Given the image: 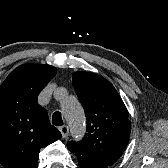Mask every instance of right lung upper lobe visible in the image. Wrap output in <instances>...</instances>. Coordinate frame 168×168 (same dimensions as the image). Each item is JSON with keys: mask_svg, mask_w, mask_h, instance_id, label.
Instances as JSON below:
<instances>
[{"mask_svg": "<svg viewBox=\"0 0 168 168\" xmlns=\"http://www.w3.org/2000/svg\"><path fill=\"white\" fill-rule=\"evenodd\" d=\"M51 65L23 64L0 86V164L35 168L40 149L62 137L37 97L56 75Z\"/></svg>", "mask_w": 168, "mask_h": 168, "instance_id": "obj_1", "label": "right lung upper lobe"}]
</instances>
